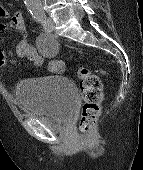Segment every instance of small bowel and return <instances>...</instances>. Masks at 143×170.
I'll return each mask as SVG.
<instances>
[{"label": "small bowel", "mask_w": 143, "mask_h": 170, "mask_svg": "<svg viewBox=\"0 0 143 170\" xmlns=\"http://www.w3.org/2000/svg\"><path fill=\"white\" fill-rule=\"evenodd\" d=\"M6 19V21H3ZM13 28L22 35L26 33V24L23 14L15 12L11 14L5 7L0 5V31ZM52 48L56 49V44L52 43ZM16 55L21 59H28L32 61L37 67L45 64V56L39 53L25 38H22L16 46ZM62 61L52 59L47 63V68L51 72H57L56 67ZM6 65V55L4 50L0 47V67Z\"/></svg>", "instance_id": "obj_1"}]
</instances>
